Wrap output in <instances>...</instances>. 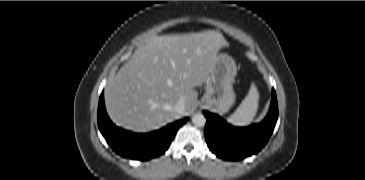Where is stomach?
Returning <instances> with one entry per match:
<instances>
[{
  "label": "stomach",
  "instance_id": "obj_1",
  "mask_svg": "<svg viewBox=\"0 0 365 180\" xmlns=\"http://www.w3.org/2000/svg\"><path fill=\"white\" fill-rule=\"evenodd\" d=\"M236 74L234 59L225 53H218L207 80L202 104L213 106L221 113L228 112L235 103L233 83Z\"/></svg>",
  "mask_w": 365,
  "mask_h": 180
}]
</instances>
